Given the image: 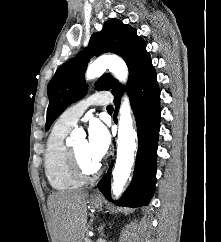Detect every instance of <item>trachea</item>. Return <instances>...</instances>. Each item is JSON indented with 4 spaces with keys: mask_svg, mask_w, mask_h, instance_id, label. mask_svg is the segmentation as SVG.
Returning <instances> with one entry per match:
<instances>
[{
    "mask_svg": "<svg viewBox=\"0 0 221 242\" xmlns=\"http://www.w3.org/2000/svg\"><path fill=\"white\" fill-rule=\"evenodd\" d=\"M107 111H113V106L112 105H108L107 106Z\"/></svg>",
    "mask_w": 221,
    "mask_h": 242,
    "instance_id": "1",
    "label": "trachea"
}]
</instances>
